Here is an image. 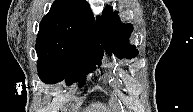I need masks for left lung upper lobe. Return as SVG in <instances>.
Listing matches in <instances>:
<instances>
[{
  "instance_id": "left-lung-upper-lobe-1",
  "label": "left lung upper lobe",
  "mask_w": 193,
  "mask_h": 112,
  "mask_svg": "<svg viewBox=\"0 0 193 112\" xmlns=\"http://www.w3.org/2000/svg\"><path fill=\"white\" fill-rule=\"evenodd\" d=\"M97 28L101 45L109 55L113 53L118 58H134L138 55L136 47L128 43L133 26L122 24L112 7L107 6L102 16L97 18Z\"/></svg>"
}]
</instances>
